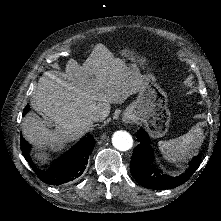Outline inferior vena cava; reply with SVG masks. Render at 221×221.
Returning a JSON list of instances; mask_svg holds the SVG:
<instances>
[{"label":"inferior vena cava","instance_id":"1","mask_svg":"<svg viewBox=\"0 0 221 221\" xmlns=\"http://www.w3.org/2000/svg\"><path fill=\"white\" fill-rule=\"evenodd\" d=\"M110 108L108 106L103 105L100 110L95 112L93 116L90 117V125L93 126L94 123L104 120L109 114Z\"/></svg>","mask_w":221,"mask_h":221}]
</instances>
